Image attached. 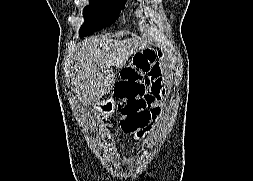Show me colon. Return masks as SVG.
Here are the masks:
<instances>
[{"label": "colon", "instance_id": "obj_1", "mask_svg": "<svg viewBox=\"0 0 253 181\" xmlns=\"http://www.w3.org/2000/svg\"><path fill=\"white\" fill-rule=\"evenodd\" d=\"M160 56L150 48H145L133 57L131 65H127L121 73V80L117 83L115 94L120 100L122 115V129L129 134L141 138L149 129L155 116L156 98H150L146 89V74L150 61Z\"/></svg>", "mask_w": 253, "mask_h": 181}]
</instances>
